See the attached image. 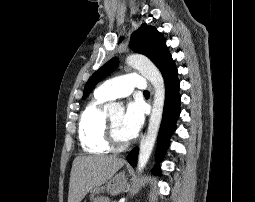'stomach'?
Masks as SVG:
<instances>
[{"label": "stomach", "mask_w": 255, "mask_h": 202, "mask_svg": "<svg viewBox=\"0 0 255 202\" xmlns=\"http://www.w3.org/2000/svg\"><path fill=\"white\" fill-rule=\"evenodd\" d=\"M127 185L128 184H127V178H126V181H124V186H104L101 188L97 187L91 191V197L94 200L97 198V197L95 198V196L99 195L103 191H107L111 195H117L120 192L124 191Z\"/></svg>", "instance_id": "0dacf381"}]
</instances>
